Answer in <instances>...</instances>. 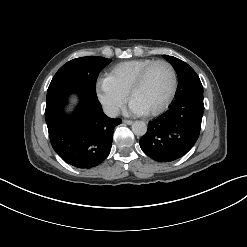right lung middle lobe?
I'll list each match as a JSON object with an SVG mask.
<instances>
[{
    "instance_id": "1",
    "label": "right lung middle lobe",
    "mask_w": 247,
    "mask_h": 247,
    "mask_svg": "<svg viewBox=\"0 0 247 247\" xmlns=\"http://www.w3.org/2000/svg\"><path fill=\"white\" fill-rule=\"evenodd\" d=\"M110 62V59L103 57H80L67 62L54 75L47 91V99L71 91L97 97V77Z\"/></svg>"
}]
</instances>
